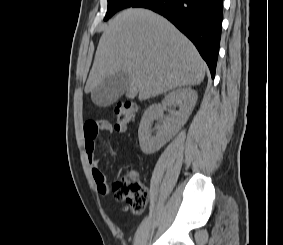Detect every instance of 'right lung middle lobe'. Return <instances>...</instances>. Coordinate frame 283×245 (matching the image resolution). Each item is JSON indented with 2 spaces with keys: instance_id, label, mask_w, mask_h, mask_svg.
Wrapping results in <instances>:
<instances>
[{
  "instance_id": "right-lung-middle-lobe-1",
  "label": "right lung middle lobe",
  "mask_w": 283,
  "mask_h": 245,
  "mask_svg": "<svg viewBox=\"0 0 283 245\" xmlns=\"http://www.w3.org/2000/svg\"><path fill=\"white\" fill-rule=\"evenodd\" d=\"M139 0H108V9L104 20H108L117 11L131 7Z\"/></svg>"
}]
</instances>
